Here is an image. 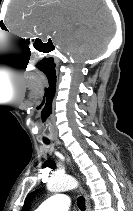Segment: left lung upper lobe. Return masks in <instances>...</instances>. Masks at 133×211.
Listing matches in <instances>:
<instances>
[{
    "mask_svg": "<svg viewBox=\"0 0 133 211\" xmlns=\"http://www.w3.org/2000/svg\"><path fill=\"white\" fill-rule=\"evenodd\" d=\"M34 195H35V192L31 193L27 197V199L25 200L24 206L22 208V211H27L28 210L29 204H30L31 200L33 199Z\"/></svg>",
    "mask_w": 133,
    "mask_h": 211,
    "instance_id": "obj_1",
    "label": "left lung upper lobe"
}]
</instances>
